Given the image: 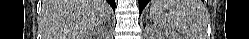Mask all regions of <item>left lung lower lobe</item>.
Segmentation results:
<instances>
[{
  "mask_svg": "<svg viewBox=\"0 0 249 39\" xmlns=\"http://www.w3.org/2000/svg\"><path fill=\"white\" fill-rule=\"evenodd\" d=\"M149 2V0H139V11L140 14L143 10V8L146 6V4Z\"/></svg>",
  "mask_w": 249,
  "mask_h": 39,
  "instance_id": "left-lung-lower-lobe-1",
  "label": "left lung lower lobe"
}]
</instances>
